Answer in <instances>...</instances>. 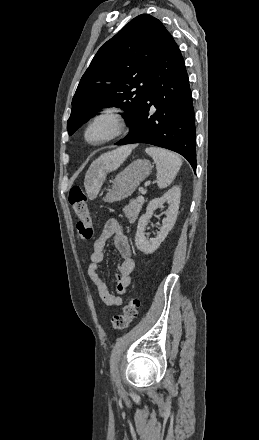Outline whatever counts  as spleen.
<instances>
[{"label":"spleen","instance_id":"3e777b00","mask_svg":"<svg viewBox=\"0 0 259 440\" xmlns=\"http://www.w3.org/2000/svg\"><path fill=\"white\" fill-rule=\"evenodd\" d=\"M145 152L153 158L156 164L158 187H168L175 179L182 160L175 153L158 147H148Z\"/></svg>","mask_w":259,"mask_h":440}]
</instances>
